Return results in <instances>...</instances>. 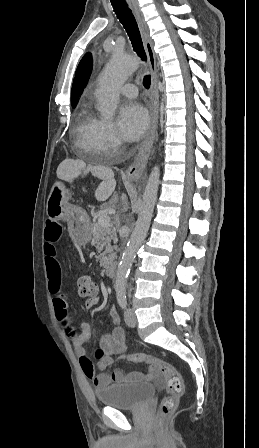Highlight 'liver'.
<instances>
[{
  "label": "liver",
  "instance_id": "6515ba94",
  "mask_svg": "<svg viewBox=\"0 0 259 448\" xmlns=\"http://www.w3.org/2000/svg\"><path fill=\"white\" fill-rule=\"evenodd\" d=\"M86 164H84L83 160H65L62 162L61 166H59L57 170L58 178L61 180H73V178H78L80 174H82L81 170H84L83 174H88V172H92L93 176H96L95 170L93 168H85ZM112 188H115V180H111ZM100 190H98L99 194Z\"/></svg>",
  "mask_w": 259,
  "mask_h": 448
}]
</instances>
